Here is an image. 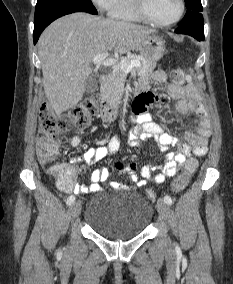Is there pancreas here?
<instances>
[{"instance_id":"obj_1","label":"pancreas","mask_w":233,"mask_h":284,"mask_svg":"<svg viewBox=\"0 0 233 284\" xmlns=\"http://www.w3.org/2000/svg\"><path fill=\"white\" fill-rule=\"evenodd\" d=\"M136 59L140 62L139 67H134L133 69L137 71L139 75L147 76L149 75L156 64L152 63L141 55L131 54L127 57H123L121 60L130 61ZM126 80V73L123 71L119 65L114 67L112 74L108 77V80L102 90V98L107 101L108 105L112 108H116L123 96L124 83Z\"/></svg>"}]
</instances>
